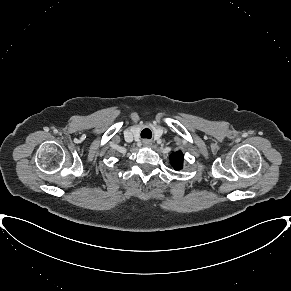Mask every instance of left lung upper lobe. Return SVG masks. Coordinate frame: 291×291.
<instances>
[{
    "mask_svg": "<svg viewBox=\"0 0 291 291\" xmlns=\"http://www.w3.org/2000/svg\"><path fill=\"white\" fill-rule=\"evenodd\" d=\"M183 153L181 151L174 152L170 155V163L175 170H180L183 165Z\"/></svg>",
    "mask_w": 291,
    "mask_h": 291,
    "instance_id": "left-lung-upper-lobe-1",
    "label": "left lung upper lobe"
}]
</instances>
